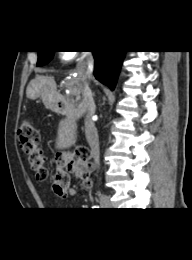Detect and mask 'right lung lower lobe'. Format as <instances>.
Segmentation results:
<instances>
[{
    "instance_id": "obj_1",
    "label": "right lung lower lobe",
    "mask_w": 192,
    "mask_h": 260,
    "mask_svg": "<svg viewBox=\"0 0 192 260\" xmlns=\"http://www.w3.org/2000/svg\"><path fill=\"white\" fill-rule=\"evenodd\" d=\"M95 65L94 76L103 84L115 88L126 51H92Z\"/></svg>"
}]
</instances>
